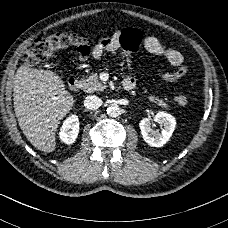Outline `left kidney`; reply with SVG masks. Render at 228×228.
Here are the masks:
<instances>
[{"instance_id":"5707ae66","label":"left kidney","mask_w":228,"mask_h":228,"mask_svg":"<svg viewBox=\"0 0 228 228\" xmlns=\"http://www.w3.org/2000/svg\"><path fill=\"white\" fill-rule=\"evenodd\" d=\"M154 121L163 127L161 133L151 128V118H144L139 123L141 134L144 141L150 146L162 147L172 136L176 126V120L168 113L158 112L154 117Z\"/></svg>"}]
</instances>
